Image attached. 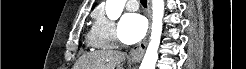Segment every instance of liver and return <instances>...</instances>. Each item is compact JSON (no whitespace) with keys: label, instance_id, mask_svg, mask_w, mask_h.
<instances>
[{"label":"liver","instance_id":"1","mask_svg":"<svg viewBox=\"0 0 246 69\" xmlns=\"http://www.w3.org/2000/svg\"><path fill=\"white\" fill-rule=\"evenodd\" d=\"M125 60L120 51L100 50L83 55L75 65V69H115Z\"/></svg>","mask_w":246,"mask_h":69}]
</instances>
